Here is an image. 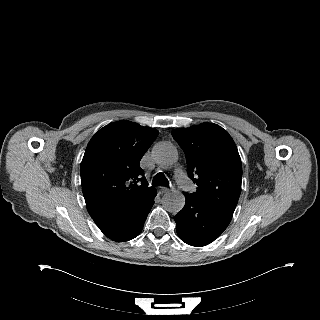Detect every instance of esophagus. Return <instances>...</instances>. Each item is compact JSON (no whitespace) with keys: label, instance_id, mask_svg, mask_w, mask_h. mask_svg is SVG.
Returning a JSON list of instances; mask_svg holds the SVG:
<instances>
[{"label":"esophagus","instance_id":"1","mask_svg":"<svg viewBox=\"0 0 320 320\" xmlns=\"http://www.w3.org/2000/svg\"><path fill=\"white\" fill-rule=\"evenodd\" d=\"M158 191H159L161 194H163V193L169 192L170 189L167 188V187H163V186H162V187H159Z\"/></svg>","mask_w":320,"mask_h":320}]
</instances>
